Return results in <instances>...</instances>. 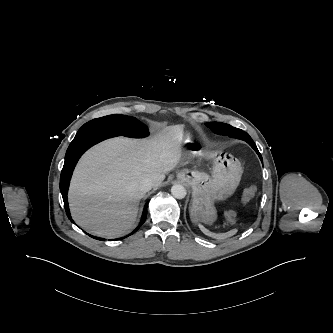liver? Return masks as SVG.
I'll return each instance as SVG.
<instances>
[{
  "mask_svg": "<svg viewBox=\"0 0 333 333\" xmlns=\"http://www.w3.org/2000/svg\"><path fill=\"white\" fill-rule=\"evenodd\" d=\"M184 139L183 126L174 125L151 138L118 137L90 149L77 165L69 188L73 220L95 235L125 234L144 196L139 182L149 178L157 187L167 172L194 158L183 153Z\"/></svg>",
  "mask_w": 333,
  "mask_h": 333,
  "instance_id": "6515ba94",
  "label": "liver"
}]
</instances>
